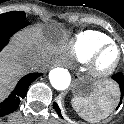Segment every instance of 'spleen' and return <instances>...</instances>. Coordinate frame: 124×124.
<instances>
[{
	"label": "spleen",
	"mask_w": 124,
	"mask_h": 124,
	"mask_svg": "<svg viewBox=\"0 0 124 124\" xmlns=\"http://www.w3.org/2000/svg\"><path fill=\"white\" fill-rule=\"evenodd\" d=\"M114 95H118L117 89ZM114 103V98L104 91L90 97H74L71 100L72 107L82 118L86 120L91 118L95 122L107 117Z\"/></svg>",
	"instance_id": "3e777b00"
}]
</instances>
